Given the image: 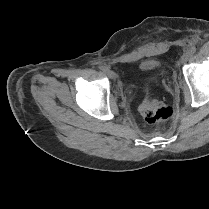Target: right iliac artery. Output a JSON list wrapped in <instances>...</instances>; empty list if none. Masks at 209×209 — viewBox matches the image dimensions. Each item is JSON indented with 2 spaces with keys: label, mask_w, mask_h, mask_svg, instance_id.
<instances>
[{
  "label": "right iliac artery",
  "mask_w": 209,
  "mask_h": 209,
  "mask_svg": "<svg viewBox=\"0 0 209 209\" xmlns=\"http://www.w3.org/2000/svg\"><path fill=\"white\" fill-rule=\"evenodd\" d=\"M100 69L102 70V71H106L107 70V67H105V66H100Z\"/></svg>",
  "instance_id": "obj_1"
}]
</instances>
